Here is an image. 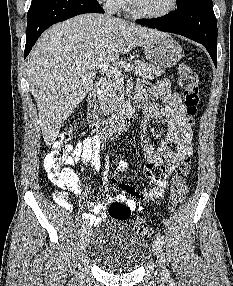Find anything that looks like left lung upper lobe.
<instances>
[{"label":"left lung upper lobe","mask_w":233,"mask_h":286,"mask_svg":"<svg viewBox=\"0 0 233 286\" xmlns=\"http://www.w3.org/2000/svg\"><path fill=\"white\" fill-rule=\"evenodd\" d=\"M182 1H184V0H177V4L181 3Z\"/></svg>","instance_id":"left-lung-upper-lobe-1"}]
</instances>
